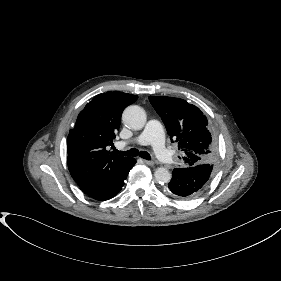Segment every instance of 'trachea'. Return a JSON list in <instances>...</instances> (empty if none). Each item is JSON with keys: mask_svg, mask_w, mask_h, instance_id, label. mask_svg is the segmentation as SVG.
<instances>
[{"mask_svg": "<svg viewBox=\"0 0 281 281\" xmlns=\"http://www.w3.org/2000/svg\"><path fill=\"white\" fill-rule=\"evenodd\" d=\"M114 152L117 153V154H121V155H124V156H140L141 158L143 159H146V160H150L151 157H150V154L146 151H139L138 149L136 148H132L128 151H119L117 149H114Z\"/></svg>", "mask_w": 281, "mask_h": 281, "instance_id": "obj_1", "label": "trachea"}]
</instances>
